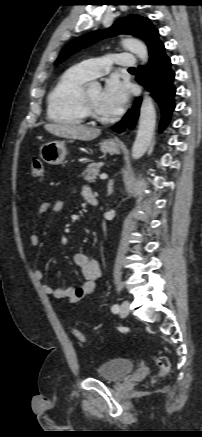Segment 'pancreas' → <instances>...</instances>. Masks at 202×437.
Segmentation results:
<instances>
[{
    "instance_id": "1",
    "label": "pancreas",
    "mask_w": 202,
    "mask_h": 437,
    "mask_svg": "<svg viewBox=\"0 0 202 437\" xmlns=\"http://www.w3.org/2000/svg\"><path fill=\"white\" fill-rule=\"evenodd\" d=\"M99 172H100V164L91 163L87 166L86 170H84L82 176L84 180L88 182H95Z\"/></svg>"
}]
</instances>
